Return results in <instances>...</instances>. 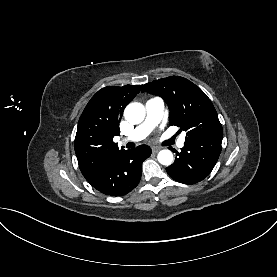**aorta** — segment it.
Masks as SVG:
<instances>
[{"instance_id": "obj_1", "label": "aorta", "mask_w": 277, "mask_h": 277, "mask_svg": "<svg viewBox=\"0 0 277 277\" xmlns=\"http://www.w3.org/2000/svg\"><path fill=\"white\" fill-rule=\"evenodd\" d=\"M125 119L132 124H139L145 118V108L141 103L134 102L127 105L124 111ZM158 162L162 165H171L173 154L170 150H161L158 153Z\"/></svg>"}]
</instances>
